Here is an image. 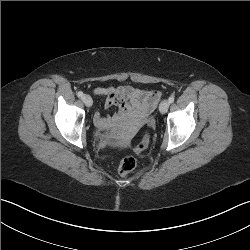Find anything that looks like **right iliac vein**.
Instances as JSON below:
<instances>
[{
  "label": "right iliac vein",
  "instance_id": "obj_1",
  "mask_svg": "<svg viewBox=\"0 0 250 250\" xmlns=\"http://www.w3.org/2000/svg\"><path fill=\"white\" fill-rule=\"evenodd\" d=\"M82 101L84 102V104L87 106V107H90L92 106L93 104V100L92 98L89 96V95H84L82 97Z\"/></svg>",
  "mask_w": 250,
  "mask_h": 250
}]
</instances>
